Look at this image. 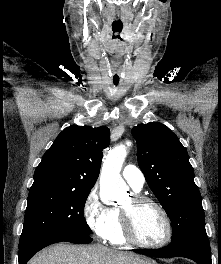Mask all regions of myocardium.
Wrapping results in <instances>:
<instances>
[{"instance_id":"obj_1","label":"myocardium","mask_w":221,"mask_h":264,"mask_svg":"<svg viewBox=\"0 0 221 264\" xmlns=\"http://www.w3.org/2000/svg\"><path fill=\"white\" fill-rule=\"evenodd\" d=\"M131 200L135 207L140 206L142 204H151L155 206L159 210V212L161 213L165 221L166 235L162 241L158 243H154V244L141 241L137 237L136 232H135L134 218H133L132 211L121 208L119 210L121 226H122V232H123V235L126 241L138 247L147 248V249H159V248L166 246L172 239L173 226H172L171 218L168 212L166 211V209L163 207V205L160 204L157 200L151 197L145 196V195H141V194H134Z\"/></svg>"}]
</instances>
